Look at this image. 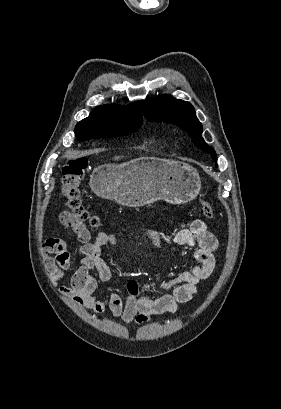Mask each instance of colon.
I'll return each mask as SVG.
<instances>
[{
  "label": "colon",
  "mask_w": 281,
  "mask_h": 409,
  "mask_svg": "<svg viewBox=\"0 0 281 409\" xmlns=\"http://www.w3.org/2000/svg\"><path fill=\"white\" fill-rule=\"evenodd\" d=\"M89 162L85 156L69 157L63 166L62 193L65 197V207L74 215L77 222H88L93 226L99 224L96 216L84 204L82 180ZM201 212L209 219L214 217L212 206L201 201Z\"/></svg>",
  "instance_id": "colon-1"
}]
</instances>
